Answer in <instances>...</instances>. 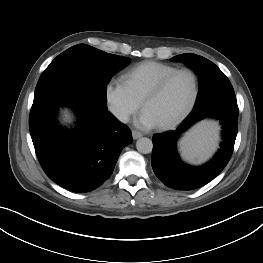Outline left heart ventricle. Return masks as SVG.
<instances>
[{"label": "left heart ventricle", "instance_id": "b2bd125f", "mask_svg": "<svg viewBox=\"0 0 263 263\" xmlns=\"http://www.w3.org/2000/svg\"><path fill=\"white\" fill-rule=\"evenodd\" d=\"M193 88L191 76L179 74L168 83L159 96L149 101L144 109L153 116L158 125L168 123L188 106Z\"/></svg>", "mask_w": 263, "mask_h": 263}]
</instances>
